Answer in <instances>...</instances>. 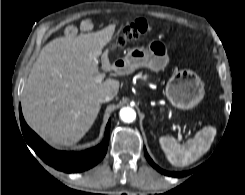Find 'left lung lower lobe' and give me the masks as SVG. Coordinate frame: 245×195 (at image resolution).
Returning a JSON list of instances; mask_svg holds the SVG:
<instances>
[{"label":"left lung lower lobe","instance_id":"1","mask_svg":"<svg viewBox=\"0 0 245 195\" xmlns=\"http://www.w3.org/2000/svg\"><path fill=\"white\" fill-rule=\"evenodd\" d=\"M144 153H145V156L148 160V162L157 170L159 171L160 173L164 174V175H167V176H171V177H183V176H186V175H189L193 170H190V171H185V172H168V171H165L163 169H161L160 167H158L157 165L154 164V162L152 161V159L149 157L146 149H144Z\"/></svg>","mask_w":245,"mask_h":195}]
</instances>
